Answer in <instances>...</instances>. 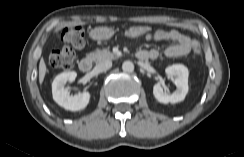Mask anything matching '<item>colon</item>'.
I'll return each instance as SVG.
<instances>
[{"instance_id": "colon-1", "label": "colon", "mask_w": 244, "mask_h": 157, "mask_svg": "<svg viewBox=\"0 0 244 157\" xmlns=\"http://www.w3.org/2000/svg\"><path fill=\"white\" fill-rule=\"evenodd\" d=\"M152 30L148 26L137 25L131 26L124 30V35L129 38L143 37ZM59 37L64 43V46L60 49H56L51 52L49 61L52 67L63 70H70L74 64L75 48H81L84 43V32L81 27H65L59 32ZM192 51L195 55H199L201 52V46L198 41L193 40L191 43Z\"/></svg>"}]
</instances>
